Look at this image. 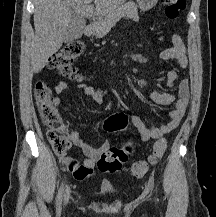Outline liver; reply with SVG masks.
I'll return each mask as SVG.
<instances>
[{
	"label": "liver",
	"mask_w": 216,
	"mask_h": 217,
	"mask_svg": "<svg viewBox=\"0 0 216 217\" xmlns=\"http://www.w3.org/2000/svg\"><path fill=\"white\" fill-rule=\"evenodd\" d=\"M124 2L125 0H95L94 8L86 0H34V72H40L48 63V58L60 49L74 13L82 21L84 17L111 13Z\"/></svg>",
	"instance_id": "obj_1"
}]
</instances>
